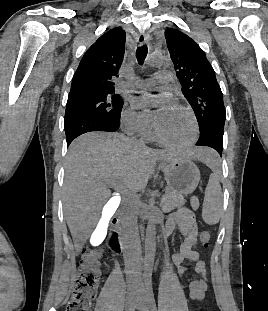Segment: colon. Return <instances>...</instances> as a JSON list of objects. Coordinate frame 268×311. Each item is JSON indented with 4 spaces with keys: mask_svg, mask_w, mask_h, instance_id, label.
Segmentation results:
<instances>
[{
    "mask_svg": "<svg viewBox=\"0 0 268 311\" xmlns=\"http://www.w3.org/2000/svg\"><path fill=\"white\" fill-rule=\"evenodd\" d=\"M198 238L203 247L209 246L211 235L208 231L200 232ZM101 257L100 248H84L66 311H90L101 276Z\"/></svg>",
    "mask_w": 268,
    "mask_h": 311,
    "instance_id": "obj_1",
    "label": "colon"
}]
</instances>
